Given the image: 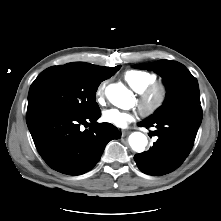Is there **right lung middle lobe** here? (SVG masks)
<instances>
[{"instance_id":"obj_1","label":"right lung middle lobe","mask_w":221,"mask_h":221,"mask_svg":"<svg viewBox=\"0 0 221 221\" xmlns=\"http://www.w3.org/2000/svg\"><path fill=\"white\" fill-rule=\"evenodd\" d=\"M120 66H117V72ZM104 80L89 78L64 66H53L38 75L28 94V109L53 108L77 114L99 110L96 91Z\"/></svg>"}]
</instances>
